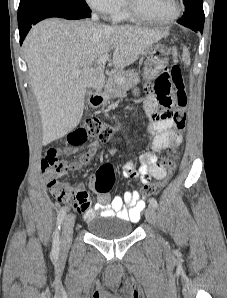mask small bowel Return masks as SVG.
I'll use <instances>...</instances> for the list:
<instances>
[{
	"mask_svg": "<svg viewBox=\"0 0 227 298\" xmlns=\"http://www.w3.org/2000/svg\"><path fill=\"white\" fill-rule=\"evenodd\" d=\"M170 77L171 72H168V69H161V75H156L154 85L145 86V108L147 110L142 111L143 115H157L159 112L158 103H169L163 104L165 110H161V115H172L170 109H174V104H172L174 91H171ZM145 121L148 126L147 132L152 137L151 151L140 155L138 167L130 161L126 162L122 168V176L127 179L139 178L141 183L148 184L151 179H164L167 174L165 162L158 159L157 152L178 147L182 142V135L176 130L170 117H146ZM76 150V146H50V150L46 153L41 165L51 192L55 194V188L50 186V183L56 181L59 188L81 196V201L72 206L83 213L85 221H90L98 215L117 217L133 222L138 221L145 203L143 200H139L137 191H128L123 196L118 195L113 198L108 193H99L96 204L92 205L83 184L72 188L60 182L59 179L62 176L88 164L95 154V146L91 145L81 154L78 162L64 163L60 160L63 155H74ZM177 157L178 154L176 153L167 161L173 165Z\"/></svg>",
	"mask_w": 227,
	"mask_h": 298,
	"instance_id": "small-bowel-1",
	"label": "small bowel"
}]
</instances>
